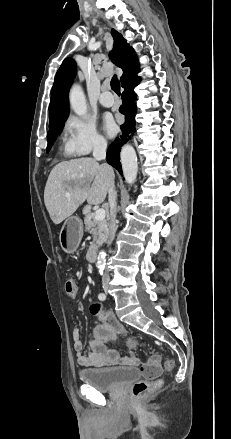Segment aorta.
I'll list each match as a JSON object with an SVG mask.
<instances>
[{"label":"aorta","instance_id":"762f6f07","mask_svg":"<svg viewBox=\"0 0 231 439\" xmlns=\"http://www.w3.org/2000/svg\"><path fill=\"white\" fill-rule=\"evenodd\" d=\"M69 100L72 110L78 116L87 114V103L85 94L80 85L75 84L70 90ZM121 164L125 180L128 184L135 182L138 172L137 156L131 145H125L120 154ZM96 267L100 274H103L106 267V252L101 250L97 257Z\"/></svg>","mask_w":231,"mask_h":439}]
</instances>
